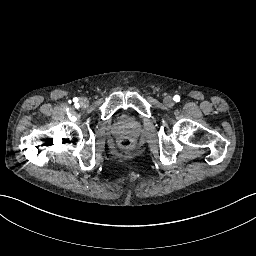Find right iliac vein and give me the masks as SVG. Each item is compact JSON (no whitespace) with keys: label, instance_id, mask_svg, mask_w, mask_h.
<instances>
[{"label":"right iliac vein","instance_id":"63e3f726","mask_svg":"<svg viewBox=\"0 0 256 256\" xmlns=\"http://www.w3.org/2000/svg\"><path fill=\"white\" fill-rule=\"evenodd\" d=\"M79 103L82 108H86L89 105V101L87 98H81Z\"/></svg>","mask_w":256,"mask_h":256}]
</instances>
